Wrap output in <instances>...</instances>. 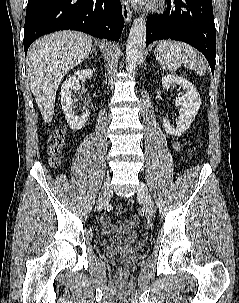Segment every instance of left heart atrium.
<instances>
[{
    "mask_svg": "<svg viewBox=\"0 0 239 303\" xmlns=\"http://www.w3.org/2000/svg\"><path fill=\"white\" fill-rule=\"evenodd\" d=\"M132 1H135V2H141L142 0H132Z\"/></svg>",
    "mask_w": 239,
    "mask_h": 303,
    "instance_id": "obj_1",
    "label": "left heart atrium"
}]
</instances>
